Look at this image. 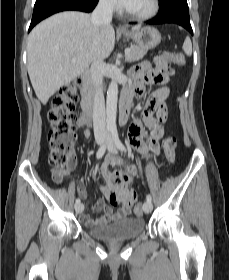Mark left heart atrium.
<instances>
[{"label":"left heart atrium","mask_w":229,"mask_h":280,"mask_svg":"<svg viewBox=\"0 0 229 280\" xmlns=\"http://www.w3.org/2000/svg\"><path fill=\"white\" fill-rule=\"evenodd\" d=\"M132 0H116V3L123 7V8H126L129 6V4L131 3Z\"/></svg>","instance_id":"left-heart-atrium-1"}]
</instances>
